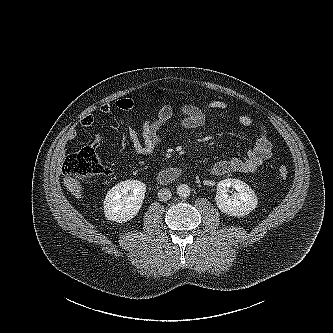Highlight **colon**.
I'll return each instance as SVG.
<instances>
[{
	"mask_svg": "<svg viewBox=\"0 0 333 333\" xmlns=\"http://www.w3.org/2000/svg\"><path fill=\"white\" fill-rule=\"evenodd\" d=\"M63 171L65 174L79 179H88L105 173L106 169L102 165L94 148L84 147L65 158L63 162ZM288 174V169L285 166L279 167L278 176L280 179H287Z\"/></svg>",
	"mask_w": 333,
	"mask_h": 333,
	"instance_id": "1",
	"label": "colon"
}]
</instances>
